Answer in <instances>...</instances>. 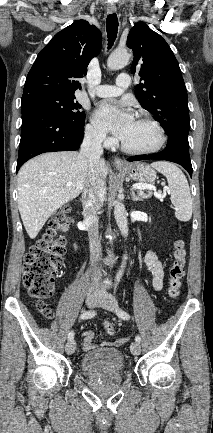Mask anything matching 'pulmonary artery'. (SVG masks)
Returning a JSON list of instances; mask_svg holds the SVG:
<instances>
[{"label": "pulmonary artery", "instance_id": "obj_1", "mask_svg": "<svg viewBox=\"0 0 213 433\" xmlns=\"http://www.w3.org/2000/svg\"><path fill=\"white\" fill-rule=\"evenodd\" d=\"M130 84V77L126 73L120 74L116 79L115 85H99L95 88L94 93L99 97L119 96Z\"/></svg>", "mask_w": 213, "mask_h": 433}]
</instances>
